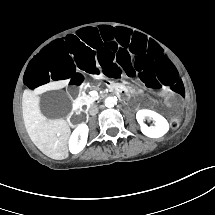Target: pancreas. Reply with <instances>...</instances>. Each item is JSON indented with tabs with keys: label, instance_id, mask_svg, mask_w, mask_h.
Masks as SVG:
<instances>
[{
	"label": "pancreas",
	"instance_id": "obj_1",
	"mask_svg": "<svg viewBox=\"0 0 215 215\" xmlns=\"http://www.w3.org/2000/svg\"><path fill=\"white\" fill-rule=\"evenodd\" d=\"M95 99H96V98L91 97V96H89V95L82 96V100L84 101V103H85L86 105L91 104Z\"/></svg>",
	"mask_w": 215,
	"mask_h": 215
}]
</instances>
